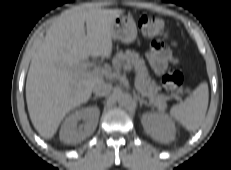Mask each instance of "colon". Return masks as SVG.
Segmentation results:
<instances>
[{"label":"colon","instance_id":"colon-1","mask_svg":"<svg viewBox=\"0 0 231 170\" xmlns=\"http://www.w3.org/2000/svg\"><path fill=\"white\" fill-rule=\"evenodd\" d=\"M138 28L140 32L147 37L153 36H164L166 35V27L165 23L162 19L149 16L142 15L138 19ZM183 83V75L180 71H175L169 73L162 78V84L164 88L172 95H178L181 93V86Z\"/></svg>","mask_w":231,"mask_h":170}]
</instances>
